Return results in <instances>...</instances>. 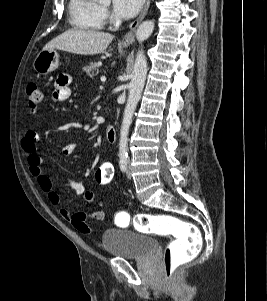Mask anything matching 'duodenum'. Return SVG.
Instances as JSON below:
<instances>
[{
  "instance_id": "obj_1",
  "label": "duodenum",
  "mask_w": 267,
  "mask_h": 301,
  "mask_svg": "<svg viewBox=\"0 0 267 301\" xmlns=\"http://www.w3.org/2000/svg\"><path fill=\"white\" fill-rule=\"evenodd\" d=\"M106 139L108 142L113 143L116 141L117 132L116 129L113 126H109L106 128L105 133Z\"/></svg>"
}]
</instances>
